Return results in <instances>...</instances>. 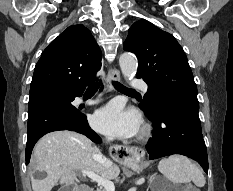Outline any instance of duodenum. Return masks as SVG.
Masks as SVG:
<instances>
[{
    "label": "duodenum",
    "instance_id": "410a0bca",
    "mask_svg": "<svg viewBox=\"0 0 233 191\" xmlns=\"http://www.w3.org/2000/svg\"><path fill=\"white\" fill-rule=\"evenodd\" d=\"M78 191H89V190L87 188H85V187H79Z\"/></svg>",
    "mask_w": 233,
    "mask_h": 191
}]
</instances>
